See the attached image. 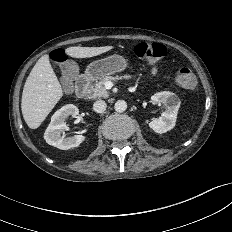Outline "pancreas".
I'll return each mask as SVG.
<instances>
[{
  "mask_svg": "<svg viewBox=\"0 0 232 232\" xmlns=\"http://www.w3.org/2000/svg\"><path fill=\"white\" fill-rule=\"evenodd\" d=\"M122 78H129V76H105L101 78L99 81H96L93 85H89L87 89V94L89 99L96 98H106L109 95V92L105 88V83L107 81H117Z\"/></svg>",
  "mask_w": 232,
  "mask_h": 232,
  "instance_id": "1",
  "label": "pancreas"
}]
</instances>
